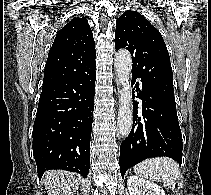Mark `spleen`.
Instances as JSON below:
<instances>
[{"mask_svg": "<svg viewBox=\"0 0 211 195\" xmlns=\"http://www.w3.org/2000/svg\"><path fill=\"white\" fill-rule=\"evenodd\" d=\"M134 172L144 178L171 186L177 180L180 170L179 165L173 159L156 157L136 165Z\"/></svg>", "mask_w": 211, "mask_h": 195, "instance_id": "spleen-1", "label": "spleen"}]
</instances>
